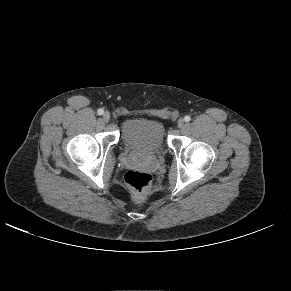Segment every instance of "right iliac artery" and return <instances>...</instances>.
<instances>
[{
	"label": "right iliac artery",
	"mask_w": 291,
	"mask_h": 291,
	"mask_svg": "<svg viewBox=\"0 0 291 291\" xmlns=\"http://www.w3.org/2000/svg\"><path fill=\"white\" fill-rule=\"evenodd\" d=\"M97 113H98V115H102L104 113V110L103 109H98Z\"/></svg>",
	"instance_id": "82829eb1"
}]
</instances>
